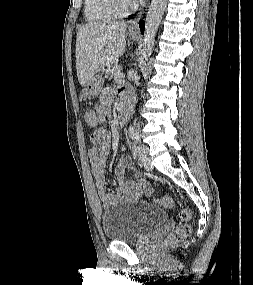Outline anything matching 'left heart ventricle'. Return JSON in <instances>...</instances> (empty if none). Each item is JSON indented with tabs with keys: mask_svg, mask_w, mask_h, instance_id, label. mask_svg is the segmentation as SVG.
I'll list each match as a JSON object with an SVG mask.
<instances>
[{
	"mask_svg": "<svg viewBox=\"0 0 253 285\" xmlns=\"http://www.w3.org/2000/svg\"><path fill=\"white\" fill-rule=\"evenodd\" d=\"M124 2H125V4H131V3H133V0H123Z\"/></svg>",
	"mask_w": 253,
	"mask_h": 285,
	"instance_id": "obj_1",
	"label": "left heart ventricle"
}]
</instances>
